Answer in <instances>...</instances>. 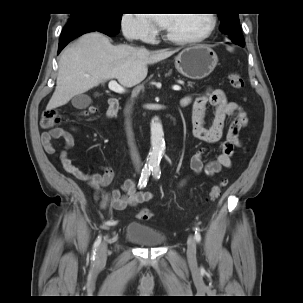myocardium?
Wrapping results in <instances>:
<instances>
[{"label":"myocardium","instance_id":"f54148a6","mask_svg":"<svg viewBox=\"0 0 303 303\" xmlns=\"http://www.w3.org/2000/svg\"><path fill=\"white\" fill-rule=\"evenodd\" d=\"M210 22L209 26L205 31L198 35L194 36H185V37H180V36H175L171 33H169L167 30L164 33V36L172 42L179 43V44H187V43H195V42H200L204 39H206L211 33L214 31L216 24H217V18L216 15L213 13L208 14Z\"/></svg>","mask_w":303,"mask_h":303}]
</instances>
